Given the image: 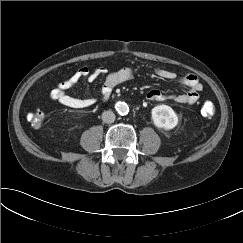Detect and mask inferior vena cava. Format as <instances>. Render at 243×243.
Segmentation results:
<instances>
[{
	"mask_svg": "<svg viewBox=\"0 0 243 243\" xmlns=\"http://www.w3.org/2000/svg\"><path fill=\"white\" fill-rule=\"evenodd\" d=\"M102 120L105 123H113L115 121V114L108 110L102 113Z\"/></svg>",
	"mask_w": 243,
	"mask_h": 243,
	"instance_id": "inferior-vena-cava-1",
	"label": "inferior vena cava"
}]
</instances>
